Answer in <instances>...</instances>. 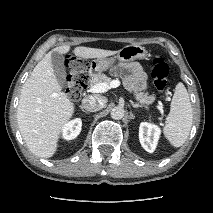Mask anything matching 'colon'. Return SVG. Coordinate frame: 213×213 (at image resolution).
<instances>
[{"label": "colon", "mask_w": 213, "mask_h": 213, "mask_svg": "<svg viewBox=\"0 0 213 213\" xmlns=\"http://www.w3.org/2000/svg\"><path fill=\"white\" fill-rule=\"evenodd\" d=\"M68 75L66 79V93L71 99H78L89 79L88 63L83 59L70 57L67 60ZM151 75L155 88L163 92L167 88L169 66L161 57H155L152 63Z\"/></svg>", "instance_id": "1"}]
</instances>
